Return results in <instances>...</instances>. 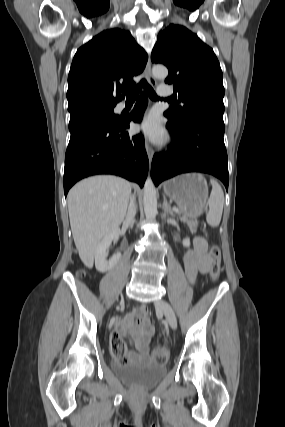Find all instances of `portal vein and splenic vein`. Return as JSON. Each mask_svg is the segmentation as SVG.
I'll use <instances>...</instances> for the list:
<instances>
[{"instance_id": "1", "label": "portal vein and splenic vein", "mask_w": 285, "mask_h": 427, "mask_svg": "<svg viewBox=\"0 0 285 427\" xmlns=\"http://www.w3.org/2000/svg\"><path fill=\"white\" fill-rule=\"evenodd\" d=\"M173 211L176 212V213H179V210L176 209V208H173Z\"/></svg>"}]
</instances>
